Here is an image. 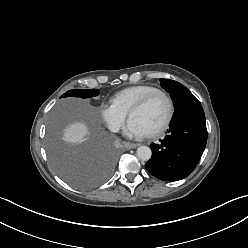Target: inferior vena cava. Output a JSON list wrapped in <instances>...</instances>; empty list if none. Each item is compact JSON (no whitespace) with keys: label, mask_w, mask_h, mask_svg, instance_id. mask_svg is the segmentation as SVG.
Wrapping results in <instances>:
<instances>
[{"label":"inferior vena cava","mask_w":248,"mask_h":248,"mask_svg":"<svg viewBox=\"0 0 248 248\" xmlns=\"http://www.w3.org/2000/svg\"><path fill=\"white\" fill-rule=\"evenodd\" d=\"M109 129H110L112 132H118L119 129H120V126L117 125V124H113V125H110Z\"/></svg>","instance_id":"602c4592"}]
</instances>
